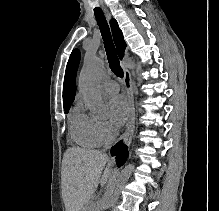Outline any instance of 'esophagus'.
<instances>
[{"mask_svg": "<svg viewBox=\"0 0 219 211\" xmlns=\"http://www.w3.org/2000/svg\"><path fill=\"white\" fill-rule=\"evenodd\" d=\"M106 16L108 19L111 18V14L109 10L104 7ZM124 84L126 88V96L128 100V105H129V110H130V117L127 123V128L123 134L124 138V144L126 146H130L132 142V137L134 133V128H135V105H134V89H133V81H132V76L128 68H124ZM115 158H111V162H114Z\"/></svg>", "mask_w": 219, "mask_h": 211, "instance_id": "obj_1", "label": "esophagus"}]
</instances>
